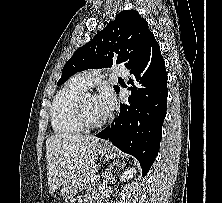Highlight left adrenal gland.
Masks as SVG:
<instances>
[{"label":"left adrenal gland","mask_w":222,"mask_h":203,"mask_svg":"<svg viewBox=\"0 0 222 203\" xmlns=\"http://www.w3.org/2000/svg\"><path fill=\"white\" fill-rule=\"evenodd\" d=\"M118 162L114 163L113 166L115 164H117ZM113 166H110L109 169H107V171L105 172V175H104V182H107V180H109V177H110V174H111V169L113 168ZM122 166H124V163L122 164Z\"/></svg>","instance_id":"left-adrenal-gland-1"}]
</instances>
